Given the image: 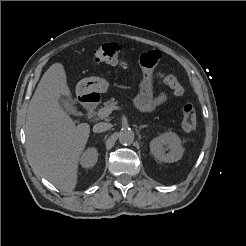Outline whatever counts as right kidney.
Segmentation results:
<instances>
[{
	"mask_svg": "<svg viewBox=\"0 0 246 246\" xmlns=\"http://www.w3.org/2000/svg\"><path fill=\"white\" fill-rule=\"evenodd\" d=\"M98 159L97 149L94 147L88 148L81 156L80 163L84 168L93 167Z\"/></svg>",
	"mask_w": 246,
	"mask_h": 246,
	"instance_id": "obj_1",
	"label": "right kidney"
}]
</instances>
